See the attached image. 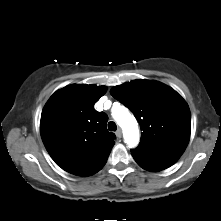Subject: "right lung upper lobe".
Returning <instances> with one entry per match:
<instances>
[{
  "label": "right lung upper lobe",
  "instance_id": "1",
  "mask_svg": "<svg viewBox=\"0 0 221 221\" xmlns=\"http://www.w3.org/2000/svg\"><path fill=\"white\" fill-rule=\"evenodd\" d=\"M106 90V86L70 85L55 92L42 111L43 143L52 159L69 173L98 172L114 146L115 135L106 128L107 115L94 109Z\"/></svg>",
  "mask_w": 221,
  "mask_h": 221
}]
</instances>
